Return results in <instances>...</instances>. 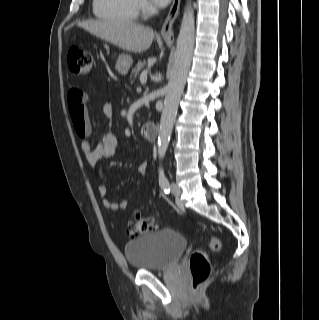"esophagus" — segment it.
<instances>
[{
    "label": "esophagus",
    "mask_w": 319,
    "mask_h": 320,
    "mask_svg": "<svg viewBox=\"0 0 319 320\" xmlns=\"http://www.w3.org/2000/svg\"><path fill=\"white\" fill-rule=\"evenodd\" d=\"M180 2H181V0H173V3L169 9L168 15H167V17L164 21V24L161 28V36L167 42L174 41L173 24L179 14Z\"/></svg>",
    "instance_id": "34e87169"
}]
</instances>
